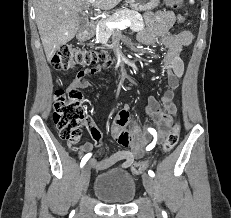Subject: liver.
<instances>
[{
    "label": "liver",
    "instance_id": "1",
    "mask_svg": "<svg viewBox=\"0 0 231 218\" xmlns=\"http://www.w3.org/2000/svg\"><path fill=\"white\" fill-rule=\"evenodd\" d=\"M90 0H34L36 23L48 61L79 29L78 13ZM122 0H95L94 7L111 10Z\"/></svg>",
    "mask_w": 231,
    "mask_h": 218
}]
</instances>
